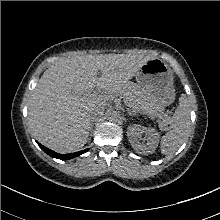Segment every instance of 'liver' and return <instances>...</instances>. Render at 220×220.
Masks as SVG:
<instances>
[{
	"mask_svg": "<svg viewBox=\"0 0 220 220\" xmlns=\"http://www.w3.org/2000/svg\"><path fill=\"white\" fill-rule=\"evenodd\" d=\"M150 59L138 54H81L51 65L29 101V125L35 138L60 153L82 148L89 136L90 112L121 95ZM95 87L98 93L91 95Z\"/></svg>",
	"mask_w": 220,
	"mask_h": 220,
	"instance_id": "6515ba94",
	"label": "liver"
}]
</instances>
